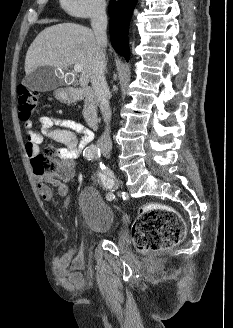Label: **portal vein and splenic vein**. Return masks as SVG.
Masks as SVG:
<instances>
[{
    "label": "portal vein and splenic vein",
    "instance_id": "portal-vein-and-splenic-vein-1",
    "mask_svg": "<svg viewBox=\"0 0 233 328\" xmlns=\"http://www.w3.org/2000/svg\"><path fill=\"white\" fill-rule=\"evenodd\" d=\"M82 66L80 65V64H74V70H75V72H77V73H80V72H82Z\"/></svg>",
    "mask_w": 233,
    "mask_h": 328
}]
</instances>
